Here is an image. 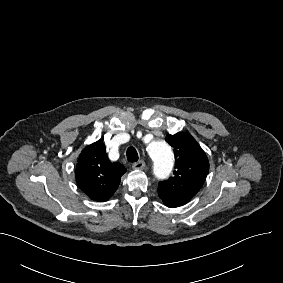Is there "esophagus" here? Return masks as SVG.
Returning a JSON list of instances; mask_svg holds the SVG:
<instances>
[{"instance_id": "34e87169", "label": "esophagus", "mask_w": 283, "mask_h": 283, "mask_svg": "<svg viewBox=\"0 0 283 283\" xmlns=\"http://www.w3.org/2000/svg\"><path fill=\"white\" fill-rule=\"evenodd\" d=\"M145 166H146L145 161L144 160H139V161L133 163L132 168L134 170H143L145 168Z\"/></svg>"}]
</instances>
